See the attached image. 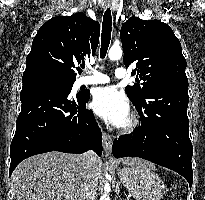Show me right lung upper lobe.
Masks as SVG:
<instances>
[{
	"label": "right lung upper lobe",
	"instance_id": "1",
	"mask_svg": "<svg viewBox=\"0 0 205 200\" xmlns=\"http://www.w3.org/2000/svg\"><path fill=\"white\" fill-rule=\"evenodd\" d=\"M100 35L97 21L78 12L56 16L44 23L32 42L23 77L60 76L76 80L86 59L96 52Z\"/></svg>",
	"mask_w": 205,
	"mask_h": 200
}]
</instances>
